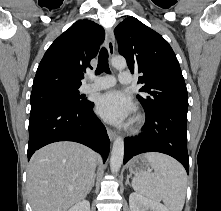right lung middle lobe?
Masks as SVG:
<instances>
[{"label": "right lung middle lobe", "instance_id": "dd1d6c3e", "mask_svg": "<svg viewBox=\"0 0 221 211\" xmlns=\"http://www.w3.org/2000/svg\"><path fill=\"white\" fill-rule=\"evenodd\" d=\"M78 88H46L32 91L31 109L46 104H64L69 106H81L85 100H81Z\"/></svg>", "mask_w": 221, "mask_h": 211}]
</instances>
